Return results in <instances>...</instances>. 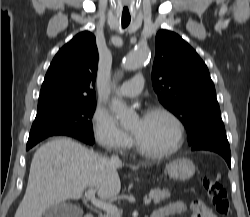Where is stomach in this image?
Returning <instances> with one entry per match:
<instances>
[{
    "mask_svg": "<svg viewBox=\"0 0 250 217\" xmlns=\"http://www.w3.org/2000/svg\"><path fill=\"white\" fill-rule=\"evenodd\" d=\"M168 176L174 180L185 181L195 173V165L188 159H178L166 166Z\"/></svg>",
    "mask_w": 250,
    "mask_h": 217,
    "instance_id": "obj_1",
    "label": "stomach"
}]
</instances>
